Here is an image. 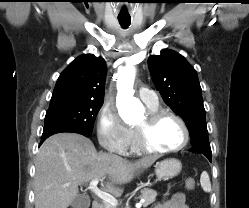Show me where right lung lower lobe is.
<instances>
[{
    "mask_svg": "<svg viewBox=\"0 0 249 208\" xmlns=\"http://www.w3.org/2000/svg\"><path fill=\"white\" fill-rule=\"evenodd\" d=\"M61 132H72V133H79L84 136H89L85 133L75 131V130H70V129H65V128H59V127H49V128H44L43 134H42V139L40 145L51 135L56 134V133H61Z\"/></svg>",
    "mask_w": 249,
    "mask_h": 208,
    "instance_id": "obj_1",
    "label": "right lung lower lobe"
}]
</instances>
